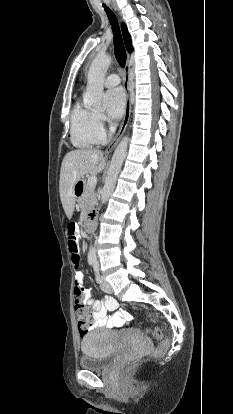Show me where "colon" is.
Segmentation results:
<instances>
[{"label":"colon","instance_id":"colon-1","mask_svg":"<svg viewBox=\"0 0 233 414\" xmlns=\"http://www.w3.org/2000/svg\"><path fill=\"white\" fill-rule=\"evenodd\" d=\"M77 226L75 223H69L67 226V237L69 250L72 254L73 251H78V236L76 235ZM74 293V292H73ZM74 303H75V316L77 319L78 329L81 335L86 334V332L93 326V315L90 311L84 292L81 295L74 293ZM148 332L155 340H161L163 337L162 331L159 328L148 329ZM165 344H162L158 351H162L165 348Z\"/></svg>","mask_w":233,"mask_h":414}]
</instances>
